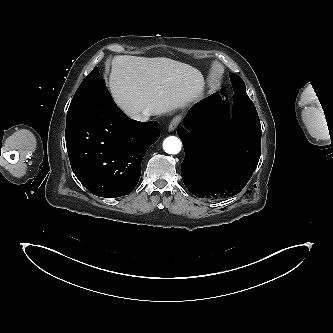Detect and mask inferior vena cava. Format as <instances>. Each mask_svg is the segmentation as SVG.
Here are the masks:
<instances>
[{"mask_svg":"<svg viewBox=\"0 0 333 333\" xmlns=\"http://www.w3.org/2000/svg\"><path fill=\"white\" fill-rule=\"evenodd\" d=\"M150 115L151 113L149 111L144 110L142 113L132 116V118L137 121H147Z\"/></svg>","mask_w":333,"mask_h":333,"instance_id":"1","label":"inferior vena cava"}]
</instances>
